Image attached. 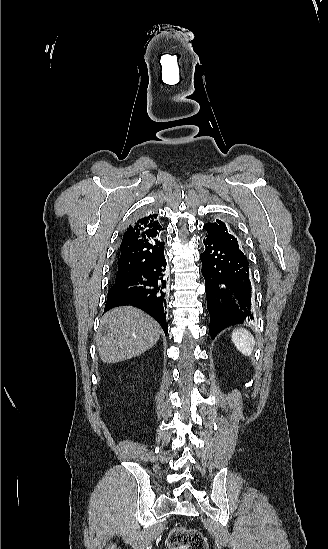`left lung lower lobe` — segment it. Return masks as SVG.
Here are the masks:
<instances>
[{
  "instance_id": "obj_1",
  "label": "left lung lower lobe",
  "mask_w": 328,
  "mask_h": 549,
  "mask_svg": "<svg viewBox=\"0 0 328 549\" xmlns=\"http://www.w3.org/2000/svg\"><path fill=\"white\" fill-rule=\"evenodd\" d=\"M200 254L205 279L209 332L212 338L224 328L254 320L249 264L244 253L211 236L203 240Z\"/></svg>"
}]
</instances>
